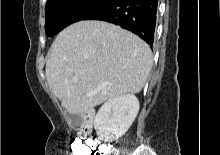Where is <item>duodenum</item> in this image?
<instances>
[{"label":"duodenum","instance_id":"1","mask_svg":"<svg viewBox=\"0 0 220 155\" xmlns=\"http://www.w3.org/2000/svg\"><path fill=\"white\" fill-rule=\"evenodd\" d=\"M94 119V112L92 110L85 111L81 117V129L84 135L91 131Z\"/></svg>","mask_w":220,"mask_h":155}]
</instances>
